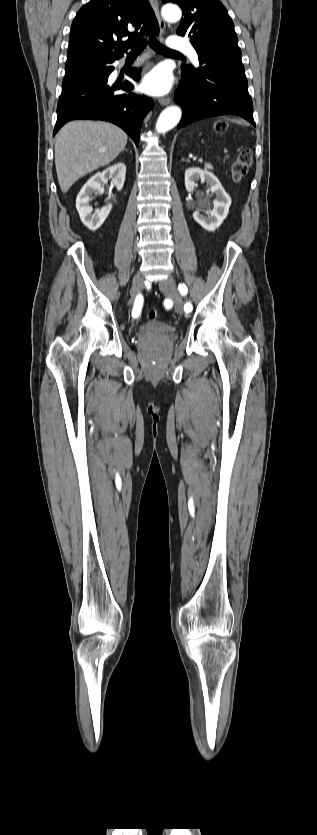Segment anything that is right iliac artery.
Wrapping results in <instances>:
<instances>
[{
  "label": "right iliac artery",
  "mask_w": 317,
  "mask_h": 835,
  "mask_svg": "<svg viewBox=\"0 0 317 835\" xmlns=\"http://www.w3.org/2000/svg\"><path fill=\"white\" fill-rule=\"evenodd\" d=\"M142 306H143V297H142V295L139 294V295L136 296V299L134 301V306H133V309H132V316L134 318H137L140 315Z\"/></svg>",
  "instance_id": "1"
}]
</instances>
